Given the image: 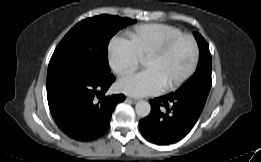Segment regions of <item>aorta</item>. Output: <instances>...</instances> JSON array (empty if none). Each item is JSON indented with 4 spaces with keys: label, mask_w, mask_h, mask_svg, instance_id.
I'll list each match as a JSON object with an SVG mask.
<instances>
[{
    "label": "aorta",
    "mask_w": 261,
    "mask_h": 162,
    "mask_svg": "<svg viewBox=\"0 0 261 162\" xmlns=\"http://www.w3.org/2000/svg\"><path fill=\"white\" fill-rule=\"evenodd\" d=\"M135 111L138 116L146 117L150 114L151 106L146 101H138L135 106Z\"/></svg>",
    "instance_id": "1"
}]
</instances>
